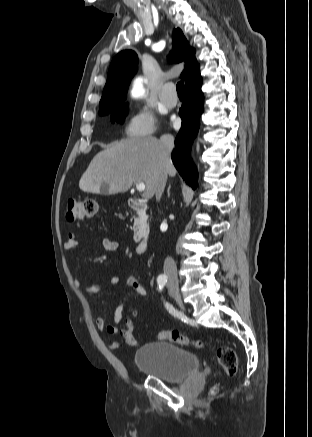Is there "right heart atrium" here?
<instances>
[{"instance_id": "1", "label": "right heart atrium", "mask_w": 312, "mask_h": 437, "mask_svg": "<svg viewBox=\"0 0 312 437\" xmlns=\"http://www.w3.org/2000/svg\"><path fill=\"white\" fill-rule=\"evenodd\" d=\"M156 129V120L148 111H138L132 114L124 126L127 137L139 138L151 135Z\"/></svg>"}]
</instances>
